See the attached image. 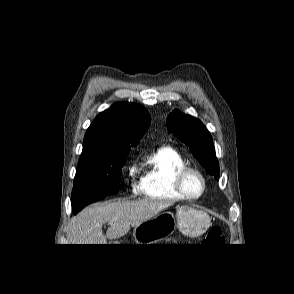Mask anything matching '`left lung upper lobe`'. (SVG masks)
Returning a JSON list of instances; mask_svg holds the SVG:
<instances>
[{
  "label": "left lung upper lobe",
  "mask_w": 294,
  "mask_h": 294,
  "mask_svg": "<svg viewBox=\"0 0 294 294\" xmlns=\"http://www.w3.org/2000/svg\"><path fill=\"white\" fill-rule=\"evenodd\" d=\"M167 128L189 146L194 157L207 172L214 175L215 179H219V162L215 155L212 137L198 119L174 111L167 117Z\"/></svg>",
  "instance_id": "5c2ea615"
}]
</instances>
